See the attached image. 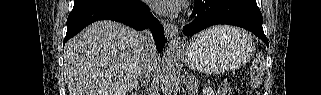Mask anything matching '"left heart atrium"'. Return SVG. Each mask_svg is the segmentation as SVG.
Returning <instances> with one entry per match:
<instances>
[{"mask_svg":"<svg viewBox=\"0 0 321 95\" xmlns=\"http://www.w3.org/2000/svg\"><path fill=\"white\" fill-rule=\"evenodd\" d=\"M152 6L163 12H177L180 10L183 1L181 0H151Z\"/></svg>","mask_w":321,"mask_h":95,"instance_id":"1","label":"left heart atrium"}]
</instances>
